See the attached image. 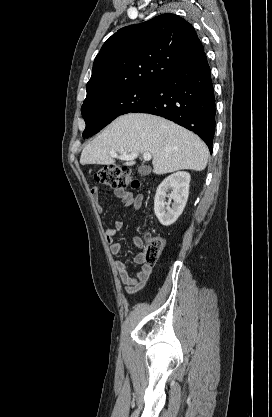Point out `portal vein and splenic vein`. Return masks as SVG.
<instances>
[{
    "mask_svg": "<svg viewBox=\"0 0 272 417\" xmlns=\"http://www.w3.org/2000/svg\"><path fill=\"white\" fill-rule=\"evenodd\" d=\"M110 155L113 158H118L121 160H134L135 158L138 157V153H131V154H122V155H118L115 151H110ZM151 154L148 152L143 153V158L146 161H149L151 159Z\"/></svg>",
    "mask_w": 272,
    "mask_h": 417,
    "instance_id": "portal-vein-and-splenic-vein-1",
    "label": "portal vein and splenic vein"
}]
</instances>
